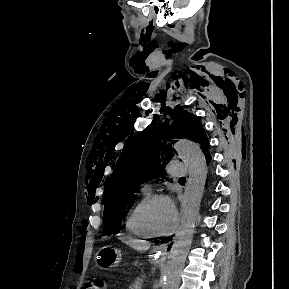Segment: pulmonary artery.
<instances>
[{
	"label": "pulmonary artery",
	"mask_w": 289,
	"mask_h": 289,
	"mask_svg": "<svg viewBox=\"0 0 289 289\" xmlns=\"http://www.w3.org/2000/svg\"><path fill=\"white\" fill-rule=\"evenodd\" d=\"M167 172L173 177H183L187 171V165L182 161H171L167 167ZM143 191L149 192L150 186L145 184L142 188Z\"/></svg>",
	"instance_id": "pulmonary-artery-1"
}]
</instances>
